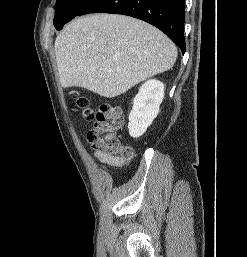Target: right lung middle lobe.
<instances>
[{
  "mask_svg": "<svg viewBox=\"0 0 247 257\" xmlns=\"http://www.w3.org/2000/svg\"><path fill=\"white\" fill-rule=\"evenodd\" d=\"M92 0H57L55 4L54 26L57 30L77 16Z\"/></svg>",
  "mask_w": 247,
  "mask_h": 257,
  "instance_id": "dd1d6c3e",
  "label": "right lung middle lobe"
}]
</instances>
